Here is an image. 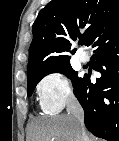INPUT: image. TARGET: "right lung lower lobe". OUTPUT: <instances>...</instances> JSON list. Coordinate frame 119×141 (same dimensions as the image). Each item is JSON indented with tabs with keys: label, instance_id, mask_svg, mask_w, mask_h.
Wrapping results in <instances>:
<instances>
[{
	"label": "right lung lower lobe",
	"instance_id": "right-lung-lower-lobe-1",
	"mask_svg": "<svg viewBox=\"0 0 119 141\" xmlns=\"http://www.w3.org/2000/svg\"><path fill=\"white\" fill-rule=\"evenodd\" d=\"M91 47L102 76L93 84L85 74L74 94L84 109L87 129L97 137L119 141V18L99 31Z\"/></svg>",
	"mask_w": 119,
	"mask_h": 141
}]
</instances>
